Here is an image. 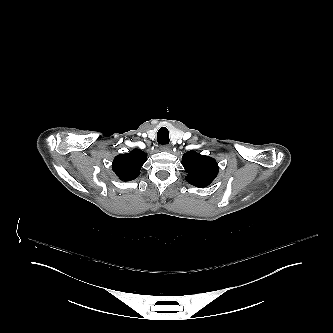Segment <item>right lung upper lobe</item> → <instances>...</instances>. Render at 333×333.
<instances>
[{
    "mask_svg": "<svg viewBox=\"0 0 333 333\" xmlns=\"http://www.w3.org/2000/svg\"><path fill=\"white\" fill-rule=\"evenodd\" d=\"M147 158V154L140 149L130 153L120 154L114 158L112 168L123 181L134 180L140 174V169Z\"/></svg>",
    "mask_w": 333,
    "mask_h": 333,
    "instance_id": "obj_1",
    "label": "right lung upper lobe"
}]
</instances>
